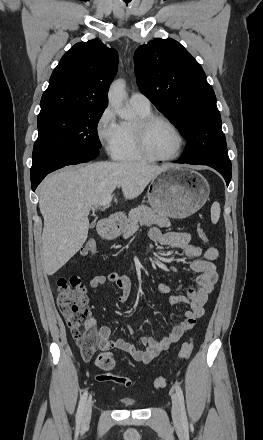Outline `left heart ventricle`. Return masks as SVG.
<instances>
[{
  "label": "left heart ventricle",
  "mask_w": 263,
  "mask_h": 440,
  "mask_svg": "<svg viewBox=\"0 0 263 440\" xmlns=\"http://www.w3.org/2000/svg\"><path fill=\"white\" fill-rule=\"evenodd\" d=\"M147 146L156 156H171L178 148V138L174 130L165 122L154 123L147 131Z\"/></svg>",
  "instance_id": "obj_1"
}]
</instances>
